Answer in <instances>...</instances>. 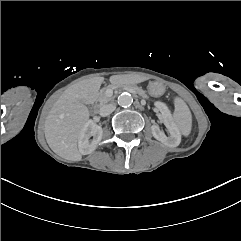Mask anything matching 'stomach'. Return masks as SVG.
Instances as JSON below:
<instances>
[{
	"label": "stomach",
	"mask_w": 241,
	"mask_h": 241,
	"mask_svg": "<svg viewBox=\"0 0 241 241\" xmlns=\"http://www.w3.org/2000/svg\"><path fill=\"white\" fill-rule=\"evenodd\" d=\"M148 92L153 97H160L165 93V86L158 81H152L148 84Z\"/></svg>",
	"instance_id": "0dacf381"
}]
</instances>
